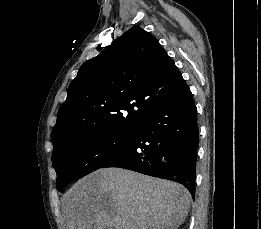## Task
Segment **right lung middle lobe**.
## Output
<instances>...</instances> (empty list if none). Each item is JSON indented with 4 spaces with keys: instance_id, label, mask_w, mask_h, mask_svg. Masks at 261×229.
I'll return each instance as SVG.
<instances>
[{
    "instance_id": "right-lung-middle-lobe-1",
    "label": "right lung middle lobe",
    "mask_w": 261,
    "mask_h": 229,
    "mask_svg": "<svg viewBox=\"0 0 261 229\" xmlns=\"http://www.w3.org/2000/svg\"><path fill=\"white\" fill-rule=\"evenodd\" d=\"M134 135L88 131L62 142L52 155L57 190L64 192L63 188L69 183L102 168L129 147Z\"/></svg>"
}]
</instances>
